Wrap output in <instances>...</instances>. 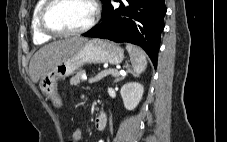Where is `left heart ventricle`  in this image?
Listing matches in <instances>:
<instances>
[{"label": "left heart ventricle", "instance_id": "obj_1", "mask_svg": "<svg viewBox=\"0 0 227 142\" xmlns=\"http://www.w3.org/2000/svg\"><path fill=\"white\" fill-rule=\"evenodd\" d=\"M92 17L88 0H62L48 14L50 25L58 30H75L86 25Z\"/></svg>", "mask_w": 227, "mask_h": 142}]
</instances>
